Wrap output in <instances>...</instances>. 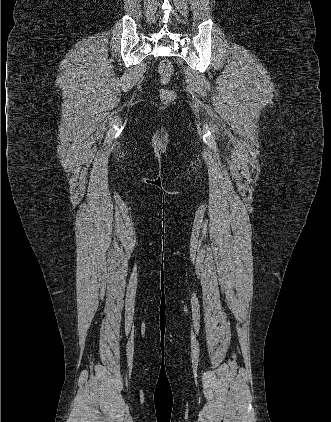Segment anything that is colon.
<instances>
[{"mask_svg":"<svg viewBox=\"0 0 331 422\" xmlns=\"http://www.w3.org/2000/svg\"><path fill=\"white\" fill-rule=\"evenodd\" d=\"M158 73L163 84L167 83L173 74V66L169 61H161L158 65ZM159 97L162 103H170L175 98V93L167 88H161Z\"/></svg>","mask_w":331,"mask_h":422,"instance_id":"5ec220e1","label":"colon"}]
</instances>
